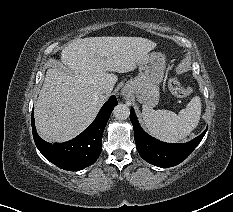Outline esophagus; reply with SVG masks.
<instances>
[{
    "label": "esophagus",
    "mask_w": 233,
    "mask_h": 212,
    "mask_svg": "<svg viewBox=\"0 0 233 212\" xmlns=\"http://www.w3.org/2000/svg\"><path fill=\"white\" fill-rule=\"evenodd\" d=\"M121 93H122V95H125L126 92H125V91H122Z\"/></svg>",
    "instance_id": "1"
}]
</instances>
